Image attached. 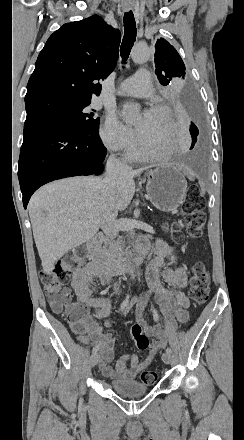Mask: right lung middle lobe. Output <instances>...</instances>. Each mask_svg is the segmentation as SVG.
Wrapping results in <instances>:
<instances>
[{
  "instance_id": "1",
  "label": "right lung middle lobe",
  "mask_w": 244,
  "mask_h": 440,
  "mask_svg": "<svg viewBox=\"0 0 244 440\" xmlns=\"http://www.w3.org/2000/svg\"><path fill=\"white\" fill-rule=\"evenodd\" d=\"M91 98H75L59 94H47L25 99L27 118L42 117L54 120L83 132L99 129V118L87 106Z\"/></svg>"
}]
</instances>
